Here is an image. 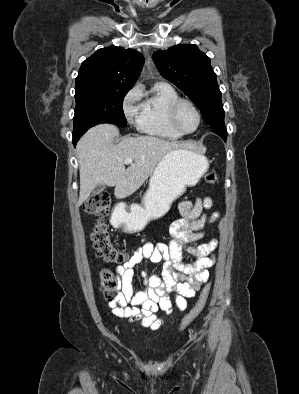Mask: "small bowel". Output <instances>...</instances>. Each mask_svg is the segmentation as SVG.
I'll return each mask as SVG.
<instances>
[{
	"label": "small bowel",
	"instance_id": "1",
	"mask_svg": "<svg viewBox=\"0 0 299 394\" xmlns=\"http://www.w3.org/2000/svg\"><path fill=\"white\" fill-rule=\"evenodd\" d=\"M213 205L210 197L197 198L194 202L184 200L179 203L181 219L169 227L172 237L168 245L142 240L131 259L116 269L120 282L119 293L108 303L112 313L129 321L138 320L140 326L156 330L164 324L156 317L158 308L172 312L173 303L168 294L175 292L174 303L180 309L186 308L185 298L193 297L209 278L208 268L215 263L211 256L218 245L217 240L191 245L206 235V227L218 217V213L208 217L205 213ZM183 252L196 258L193 263L183 262ZM143 260L152 263L163 261L161 274L147 275L141 272L144 289L134 287V269Z\"/></svg>",
	"mask_w": 299,
	"mask_h": 394
}]
</instances>
